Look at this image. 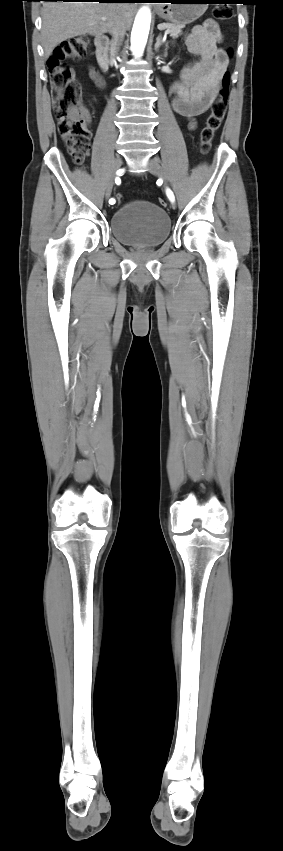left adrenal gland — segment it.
<instances>
[{"instance_id": "left-adrenal-gland-1", "label": "left adrenal gland", "mask_w": 283, "mask_h": 851, "mask_svg": "<svg viewBox=\"0 0 283 851\" xmlns=\"http://www.w3.org/2000/svg\"><path fill=\"white\" fill-rule=\"evenodd\" d=\"M163 44L165 45L164 57H167L168 42L162 41V35L159 34L158 37L156 38L155 51L157 52L159 50L160 46L163 45Z\"/></svg>"}]
</instances>
